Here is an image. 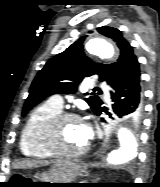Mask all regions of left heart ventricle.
<instances>
[{
    "mask_svg": "<svg viewBox=\"0 0 160 187\" xmlns=\"http://www.w3.org/2000/svg\"><path fill=\"white\" fill-rule=\"evenodd\" d=\"M83 123L79 120H67L61 128V146L67 151H77L88 142L84 132Z\"/></svg>",
    "mask_w": 160,
    "mask_h": 187,
    "instance_id": "left-heart-ventricle-1",
    "label": "left heart ventricle"
}]
</instances>
